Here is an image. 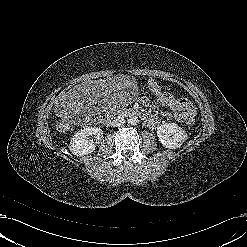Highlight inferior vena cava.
I'll return each mask as SVG.
<instances>
[{
    "mask_svg": "<svg viewBox=\"0 0 247 247\" xmlns=\"http://www.w3.org/2000/svg\"><path fill=\"white\" fill-rule=\"evenodd\" d=\"M110 125L112 127H120L122 126L124 123H125V119L121 116H115L113 115L111 118H110Z\"/></svg>",
    "mask_w": 247,
    "mask_h": 247,
    "instance_id": "602c4592",
    "label": "inferior vena cava"
}]
</instances>
